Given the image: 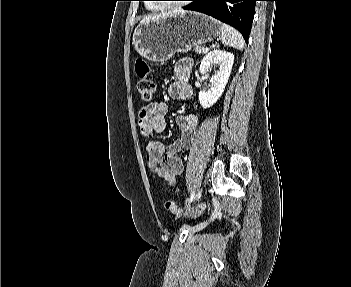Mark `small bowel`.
Masks as SVG:
<instances>
[{
	"label": "small bowel",
	"mask_w": 351,
	"mask_h": 287,
	"mask_svg": "<svg viewBox=\"0 0 351 287\" xmlns=\"http://www.w3.org/2000/svg\"><path fill=\"white\" fill-rule=\"evenodd\" d=\"M173 73L175 81L169 87V96L180 101L190 99L193 94L189 84L190 64L183 62L175 66ZM166 112L167 106L163 101L153 102L141 108L138 122L141 135L147 138L153 132H162L166 127ZM176 123L180 129V137L170 145L165 146L155 140H148L146 143L149 168L169 184H174L177 176L183 171V161L179 153L193 147L199 119L195 112L189 111L178 116Z\"/></svg>",
	"instance_id": "obj_1"
}]
</instances>
